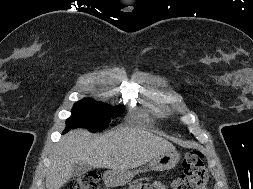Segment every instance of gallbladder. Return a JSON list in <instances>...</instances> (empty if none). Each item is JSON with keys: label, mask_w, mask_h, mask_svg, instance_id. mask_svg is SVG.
<instances>
[{"label": "gallbladder", "mask_w": 253, "mask_h": 189, "mask_svg": "<svg viewBox=\"0 0 253 189\" xmlns=\"http://www.w3.org/2000/svg\"><path fill=\"white\" fill-rule=\"evenodd\" d=\"M90 170V165L84 163H77L73 166V176H81Z\"/></svg>", "instance_id": "1"}]
</instances>
